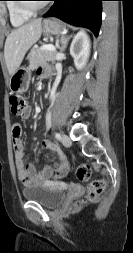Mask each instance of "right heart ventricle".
I'll return each instance as SVG.
<instances>
[{
    "label": "right heart ventricle",
    "mask_w": 133,
    "mask_h": 253,
    "mask_svg": "<svg viewBox=\"0 0 133 253\" xmlns=\"http://www.w3.org/2000/svg\"><path fill=\"white\" fill-rule=\"evenodd\" d=\"M7 10L9 15L10 23L14 27H19L25 24L33 14L24 12L20 6L17 0H10L7 3Z\"/></svg>",
    "instance_id": "1"
}]
</instances>
